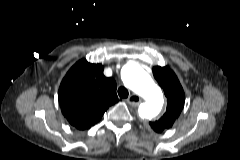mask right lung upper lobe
I'll return each instance as SVG.
<instances>
[{"mask_svg":"<svg viewBox=\"0 0 240 160\" xmlns=\"http://www.w3.org/2000/svg\"><path fill=\"white\" fill-rule=\"evenodd\" d=\"M101 64L78 61L63 78L59 104L67 121L79 130L97 123L104 112L118 102L116 82L103 75Z\"/></svg>","mask_w":240,"mask_h":160,"instance_id":"cb5924a9","label":"right lung upper lobe"}]
</instances>
